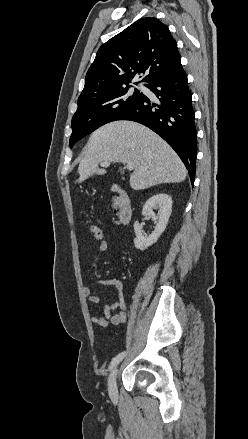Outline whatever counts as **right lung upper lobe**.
Here are the masks:
<instances>
[{"instance_id":"1","label":"right lung upper lobe","mask_w":248,"mask_h":439,"mask_svg":"<svg viewBox=\"0 0 248 439\" xmlns=\"http://www.w3.org/2000/svg\"><path fill=\"white\" fill-rule=\"evenodd\" d=\"M180 66L181 56L168 27L154 17L142 18L99 48L78 106L129 87L137 73H145L142 81L150 83Z\"/></svg>"}]
</instances>
